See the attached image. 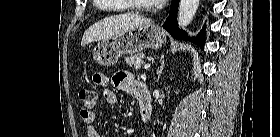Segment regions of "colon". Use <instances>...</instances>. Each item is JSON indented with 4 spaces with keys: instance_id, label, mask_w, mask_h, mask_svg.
Listing matches in <instances>:
<instances>
[{
    "instance_id": "colon-1",
    "label": "colon",
    "mask_w": 280,
    "mask_h": 137,
    "mask_svg": "<svg viewBox=\"0 0 280 137\" xmlns=\"http://www.w3.org/2000/svg\"><path fill=\"white\" fill-rule=\"evenodd\" d=\"M79 98L84 106L93 107L97 102V92L91 88H81Z\"/></svg>"
}]
</instances>
